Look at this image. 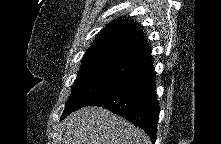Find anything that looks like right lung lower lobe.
<instances>
[{"instance_id":"98d812e1","label":"right lung lower lobe","mask_w":221,"mask_h":144,"mask_svg":"<svg viewBox=\"0 0 221 144\" xmlns=\"http://www.w3.org/2000/svg\"><path fill=\"white\" fill-rule=\"evenodd\" d=\"M86 106L104 107L123 116L143 129L155 143L159 104L151 55L117 83L92 98Z\"/></svg>"}]
</instances>
